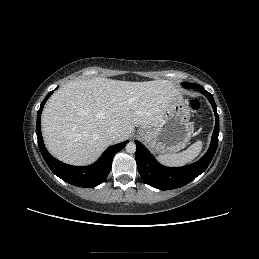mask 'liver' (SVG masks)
I'll return each mask as SVG.
<instances>
[{"label":"liver","instance_id":"liver-1","mask_svg":"<svg viewBox=\"0 0 259 259\" xmlns=\"http://www.w3.org/2000/svg\"><path fill=\"white\" fill-rule=\"evenodd\" d=\"M178 94L175 84L168 80L93 78L68 82L44 107L45 145L65 163L91 164L112 143L128 139L135 126L158 125L169 102ZM112 126L120 130L115 141L106 137Z\"/></svg>","mask_w":259,"mask_h":259}]
</instances>
